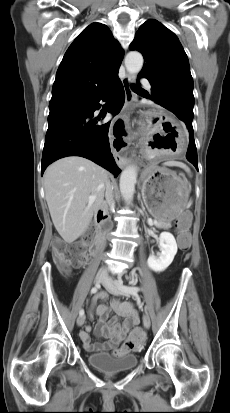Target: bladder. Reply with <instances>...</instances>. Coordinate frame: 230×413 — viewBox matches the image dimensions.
<instances>
[{
	"label": "bladder",
	"mask_w": 230,
	"mask_h": 413,
	"mask_svg": "<svg viewBox=\"0 0 230 413\" xmlns=\"http://www.w3.org/2000/svg\"><path fill=\"white\" fill-rule=\"evenodd\" d=\"M87 360L90 365L108 374L128 371L138 365V357L134 354L112 355L97 352L89 354Z\"/></svg>",
	"instance_id": "31cf9c89"
}]
</instances>
